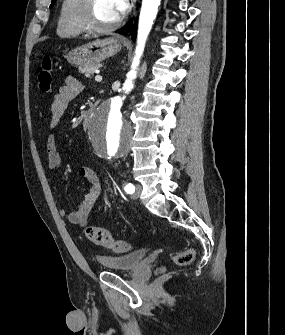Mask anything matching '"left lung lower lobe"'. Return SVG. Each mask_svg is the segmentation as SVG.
Listing matches in <instances>:
<instances>
[{"label":"left lung lower lobe","mask_w":285,"mask_h":335,"mask_svg":"<svg viewBox=\"0 0 285 335\" xmlns=\"http://www.w3.org/2000/svg\"><path fill=\"white\" fill-rule=\"evenodd\" d=\"M131 31V38L135 40L136 38V26L132 25V19L122 28L117 30L118 33L126 34Z\"/></svg>","instance_id":"0a47b994"}]
</instances>
